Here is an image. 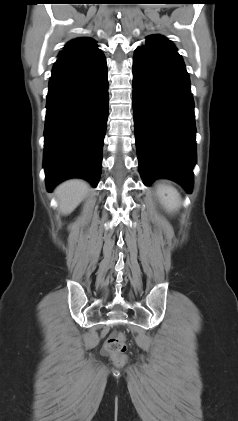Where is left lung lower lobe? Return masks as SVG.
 I'll list each match as a JSON object with an SVG mask.
<instances>
[{"instance_id":"left-lung-lower-lobe-1","label":"left lung lower lobe","mask_w":238,"mask_h":421,"mask_svg":"<svg viewBox=\"0 0 238 421\" xmlns=\"http://www.w3.org/2000/svg\"><path fill=\"white\" fill-rule=\"evenodd\" d=\"M133 113L144 184L168 178L190 193L196 163L194 101L189 75L176 50L136 49Z\"/></svg>"}]
</instances>
